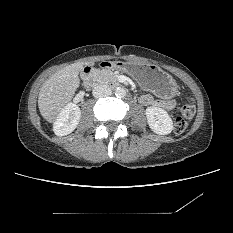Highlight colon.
Here are the masks:
<instances>
[{
	"instance_id": "5ec220e1",
	"label": "colon",
	"mask_w": 233,
	"mask_h": 233,
	"mask_svg": "<svg viewBox=\"0 0 233 233\" xmlns=\"http://www.w3.org/2000/svg\"><path fill=\"white\" fill-rule=\"evenodd\" d=\"M194 114L195 105L190 98L180 107V115L175 120V132L177 134H181L186 130L188 122L193 118Z\"/></svg>"
}]
</instances>
